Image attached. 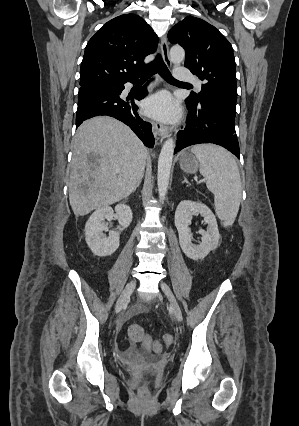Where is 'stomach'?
<instances>
[{"label": "stomach", "mask_w": 299, "mask_h": 426, "mask_svg": "<svg viewBox=\"0 0 299 426\" xmlns=\"http://www.w3.org/2000/svg\"><path fill=\"white\" fill-rule=\"evenodd\" d=\"M181 169L186 173H195L200 168V162L196 156L189 151H183L179 157Z\"/></svg>", "instance_id": "1"}]
</instances>
